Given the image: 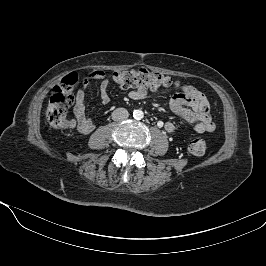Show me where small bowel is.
<instances>
[{
  "label": "small bowel",
  "mask_w": 266,
  "mask_h": 266,
  "mask_svg": "<svg viewBox=\"0 0 266 266\" xmlns=\"http://www.w3.org/2000/svg\"><path fill=\"white\" fill-rule=\"evenodd\" d=\"M91 78L101 80L99 86L100 99L103 104L110 102L108 93V80L103 71H94L89 75ZM155 92L154 94H158ZM150 93L143 87H139L129 93L133 100L146 99ZM172 110L181 118L194 124L197 133H210L215 129L210 114L209 103L206 96L192 85L184 84L179 91L171 97ZM73 114L77 121V130L82 134L91 133L94 128V122L86 115V99L83 89H79L75 99ZM164 129L167 133H172L175 126L172 122H166Z\"/></svg>",
  "instance_id": "small-bowel-1"
}]
</instances>
